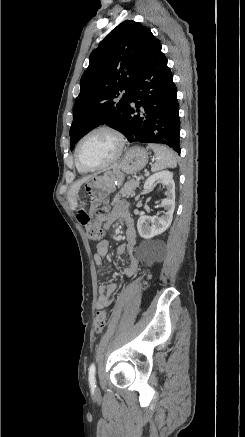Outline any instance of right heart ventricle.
I'll list each match as a JSON object with an SVG mask.
<instances>
[{"instance_id": "1", "label": "right heart ventricle", "mask_w": 245, "mask_h": 437, "mask_svg": "<svg viewBox=\"0 0 245 437\" xmlns=\"http://www.w3.org/2000/svg\"><path fill=\"white\" fill-rule=\"evenodd\" d=\"M75 165H76L78 172H80L81 174H86L89 172V170L81 167L77 162H75Z\"/></svg>"}]
</instances>
